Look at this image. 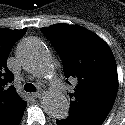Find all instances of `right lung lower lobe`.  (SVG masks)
Here are the masks:
<instances>
[{
	"instance_id": "1",
	"label": "right lung lower lobe",
	"mask_w": 125,
	"mask_h": 125,
	"mask_svg": "<svg viewBox=\"0 0 125 125\" xmlns=\"http://www.w3.org/2000/svg\"><path fill=\"white\" fill-rule=\"evenodd\" d=\"M26 106L27 102L24 101L10 112L2 115L0 117V125H19Z\"/></svg>"
}]
</instances>
